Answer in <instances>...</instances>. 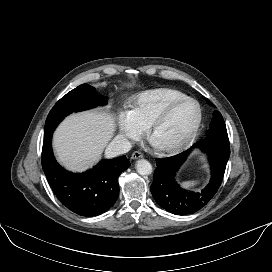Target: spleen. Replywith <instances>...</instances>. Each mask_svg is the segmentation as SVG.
Listing matches in <instances>:
<instances>
[{"mask_svg":"<svg viewBox=\"0 0 272 272\" xmlns=\"http://www.w3.org/2000/svg\"><path fill=\"white\" fill-rule=\"evenodd\" d=\"M197 184V181H185L182 183V186L185 188H192Z\"/></svg>","mask_w":272,"mask_h":272,"instance_id":"1","label":"spleen"}]
</instances>
